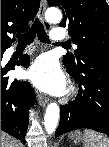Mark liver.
I'll return each mask as SVG.
<instances>
[{
  "label": "liver",
  "mask_w": 109,
  "mask_h": 147,
  "mask_svg": "<svg viewBox=\"0 0 109 147\" xmlns=\"http://www.w3.org/2000/svg\"><path fill=\"white\" fill-rule=\"evenodd\" d=\"M1 147H21V144L18 140L3 132L1 134Z\"/></svg>",
  "instance_id": "1"
}]
</instances>
